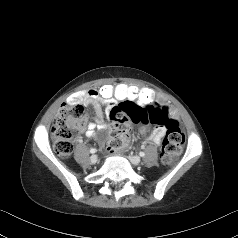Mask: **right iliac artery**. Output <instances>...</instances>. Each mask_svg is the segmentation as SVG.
Returning a JSON list of instances; mask_svg holds the SVG:
<instances>
[{"instance_id":"obj_1","label":"right iliac artery","mask_w":238,"mask_h":238,"mask_svg":"<svg viewBox=\"0 0 238 238\" xmlns=\"http://www.w3.org/2000/svg\"><path fill=\"white\" fill-rule=\"evenodd\" d=\"M96 151H97V150L94 149V148H91V149H90V153H92V154L95 153Z\"/></svg>"}]
</instances>
